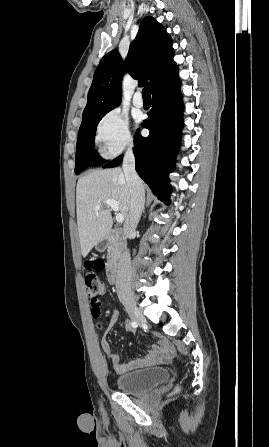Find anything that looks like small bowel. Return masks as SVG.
Returning a JSON list of instances; mask_svg holds the SVG:
<instances>
[{"label":"small bowel","mask_w":269,"mask_h":447,"mask_svg":"<svg viewBox=\"0 0 269 447\" xmlns=\"http://www.w3.org/2000/svg\"><path fill=\"white\" fill-rule=\"evenodd\" d=\"M119 318V312L117 310H112L110 314V326H113ZM102 349L107 354L114 369L119 373H124L159 363H167L174 355L172 347H170L165 341H161L158 345H154L148 350L145 356L129 361H123L119 354L111 353L109 345L105 341L102 342Z\"/></svg>","instance_id":"obj_1"}]
</instances>
